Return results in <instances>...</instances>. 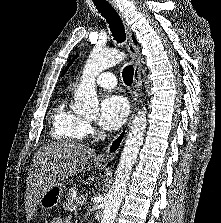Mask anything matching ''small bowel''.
I'll return each instance as SVG.
<instances>
[{
    "instance_id": "c3829d8e",
    "label": "small bowel",
    "mask_w": 221,
    "mask_h": 223,
    "mask_svg": "<svg viewBox=\"0 0 221 223\" xmlns=\"http://www.w3.org/2000/svg\"><path fill=\"white\" fill-rule=\"evenodd\" d=\"M52 223H63V222H62V219L58 218V219H55Z\"/></svg>"
}]
</instances>
